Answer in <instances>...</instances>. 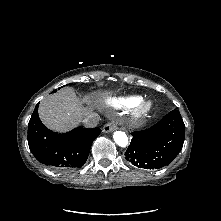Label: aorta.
Segmentation results:
<instances>
[{
    "mask_svg": "<svg viewBox=\"0 0 221 221\" xmlns=\"http://www.w3.org/2000/svg\"><path fill=\"white\" fill-rule=\"evenodd\" d=\"M113 138L117 145L120 147H126L128 145V137L125 132L122 131H115Z\"/></svg>",
    "mask_w": 221,
    "mask_h": 221,
    "instance_id": "obj_1",
    "label": "aorta"
}]
</instances>
